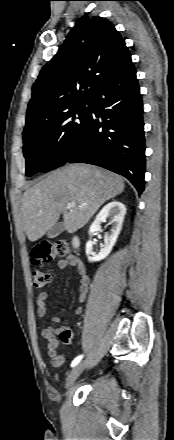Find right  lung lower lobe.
<instances>
[{
  "instance_id": "1",
  "label": "right lung lower lobe",
  "mask_w": 174,
  "mask_h": 440,
  "mask_svg": "<svg viewBox=\"0 0 174 440\" xmlns=\"http://www.w3.org/2000/svg\"><path fill=\"white\" fill-rule=\"evenodd\" d=\"M89 100L91 109L86 129L73 144L65 163L106 168L126 177L142 193L145 187L143 103L132 61L107 77Z\"/></svg>"
}]
</instances>
